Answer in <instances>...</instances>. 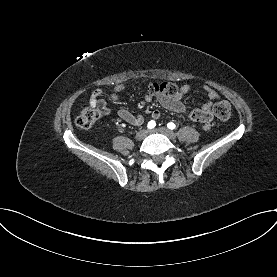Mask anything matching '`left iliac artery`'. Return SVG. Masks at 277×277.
Returning <instances> with one entry per match:
<instances>
[{"label":"left iliac artery","mask_w":277,"mask_h":277,"mask_svg":"<svg viewBox=\"0 0 277 277\" xmlns=\"http://www.w3.org/2000/svg\"><path fill=\"white\" fill-rule=\"evenodd\" d=\"M167 127H168L169 129H174L176 126H175L174 123L170 122V123L167 124Z\"/></svg>","instance_id":"obj_1"}]
</instances>
